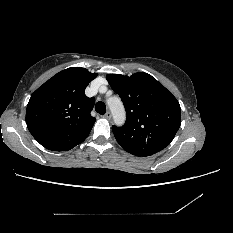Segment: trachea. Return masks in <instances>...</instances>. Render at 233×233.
Instances as JSON below:
<instances>
[{
	"instance_id": "1",
	"label": "trachea",
	"mask_w": 233,
	"mask_h": 233,
	"mask_svg": "<svg viewBox=\"0 0 233 233\" xmlns=\"http://www.w3.org/2000/svg\"><path fill=\"white\" fill-rule=\"evenodd\" d=\"M95 110L101 115H104L106 113V106L103 102L99 101L95 105Z\"/></svg>"
}]
</instances>
